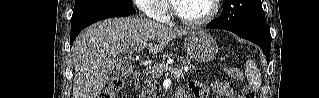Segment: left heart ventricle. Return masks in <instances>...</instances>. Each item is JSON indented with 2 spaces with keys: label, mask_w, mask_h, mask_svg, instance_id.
<instances>
[{
  "label": "left heart ventricle",
  "mask_w": 319,
  "mask_h": 98,
  "mask_svg": "<svg viewBox=\"0 0 319 98\" xmlns=\"http://www.w3.org/2000/svg\"><path fill=\"white\" fill-rule=\"evenodd\" d=\"M176 7L183 17L197 20L210 13L212 4L210 0H178L176 1Z\"/></svg>",
  "instance_id": "1"
}]
</instances>
